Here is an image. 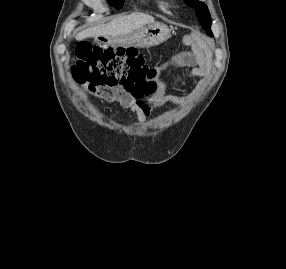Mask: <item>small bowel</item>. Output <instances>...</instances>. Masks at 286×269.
<instances>
[{
    "mask_svg": "<svg viewBox=\"0 0 286 269\" xmlns=\"http://www.w3.org/2000/svg\"><path fill=\"white\" fill-rule=\"evenodd\" d=\"M191 47L189 53L180 54L171 60L169 70V80L173 85L181 83L179 71L187 68L186 77H206L210 69V54L205 42L193 40L187 43ZM103 97L114 100L135 113L137 120L143 124L148 117L156 114V111L164 104V98L158 97L154 102L148 104L139 100L131 92L121 87L111 89L109 94L99 92Z\"/></svg>",
    "mask_w": 286,
    "mask_h": 269,
    "instance_id": "c3829d8e",
    "label": "small bowel"
}]
</instances>
